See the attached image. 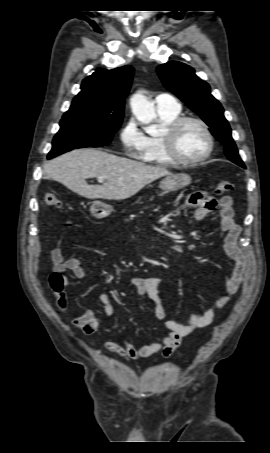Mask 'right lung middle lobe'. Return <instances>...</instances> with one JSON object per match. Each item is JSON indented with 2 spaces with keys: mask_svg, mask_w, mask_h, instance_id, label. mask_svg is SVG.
<instances>
[{
  "mask_svg": "<svg viewBox=\"0 0 270 453\" xmlns=\"http://www.w3.org/2000/svg\"><path fill=\"white\" fill-rule=\"evenodd\" d=\"M121 123L122 120L95 114L63 116L48 159L76 148L108 145Z\"/></svg>",
  "mask_w": 270,
  "mask_h": 453,
  "instance_id": "obj_1",
  "label": "right lung middle lobe"
}]
</instances>
